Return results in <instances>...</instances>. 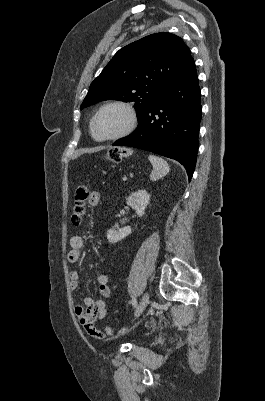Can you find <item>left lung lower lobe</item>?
Wrapping results in <instances>:
<instances>
[{
  "instance_id": "1",
  "label": "left lung lower lobe",
  "mask_w": 265,
  "mask_h": 401,
  "mask_svg": "<svg viewBox=\"0 0 265 401\" xmlns=\"http://www.w3.org/2000/svg\"><path fill=\"white\" fill-rule=\"evenodd\" d=\"M200 87L194 59L139 118L137 129L117 140L130 146L175 159L191 180L195 170L201 121Z\"/></svg>"
}]
</instances>
